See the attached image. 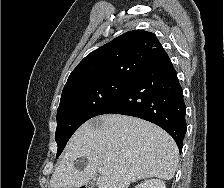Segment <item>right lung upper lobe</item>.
I'll return each mask as SVG.
<instances>
[{
	"label": "right lung upper lobe",
	"instance_id": "cb5924a9",
	"mask_svg": "<svg viewBox=\"0 0 224 188\" xmlns=\"http://www.w3.org/2000/svg\"><path fill=\"white\" fill-rule=\"evenodd\" d=\"M168 58L155 34L129 31L88 54L71 72L64 89L104 79H133Z\"/></svg>",
	"mask_w": 224,
	"mask_h": 188
}]
</instances>
